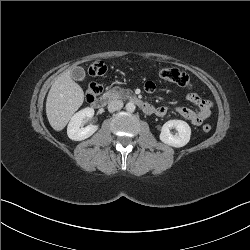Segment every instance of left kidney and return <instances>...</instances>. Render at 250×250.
Masks as SVG:
<instances>
[{"instance_id": "obj_1", "label": "left kidney", "mask_w": 250, "mask_h": 250, "mask_svg": "<svg viewBox=\"0 0 250 250\" xmlns=\"http://www.w3.org/2000/svg\"><path fill=\"white\" fill-rule=\"evenodd\" d=\"M175 128L178 133L175 135L171 134L170 129ZM191 136L190 126L182 120H169L161 129L160 140L172 147L179 148L185 146Z\"/></svg>"}]
</instances>
